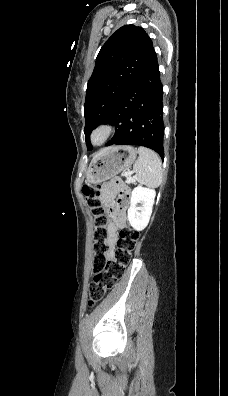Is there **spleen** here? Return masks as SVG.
<instances>
[{"label": "spleen", "instance_id": "3e777b00", "mask_svg": "<svg viewBox=\"0 0 228 396\" xmlns=\"http://www.w3.org/2000/svg\"><path fill=\"white\" fill-rule=\"evenodd\" d=\"M138 154L139 157L133 166L136 181L152 188L160 186L163 170L159 156L153 150L145 147H139Z\"/></svg>", "mask_w": 228, "mask_h": 396}]
</instances>
